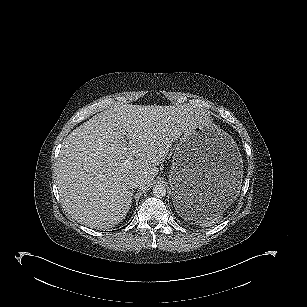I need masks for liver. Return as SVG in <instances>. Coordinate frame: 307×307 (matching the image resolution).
<instances>
[{
	"mask_svg": "<svg viewBox=\"0 0 307 307\" xmlns=\"http://www.w3.org/2000/svg\"><path fill=\"white\" fill-rule=\"evenodd\" d=\"M203 121L204 111L178 106L117 104L94 115L61 146L55 174L64 209L90 228L119 224L132 204L129 181L149 189L173 141Z\"/></svg>",
	"mask_w": 307,
	"mask_h": 307,
	"instance_id": "liver-1",
	"label": "liver"
}]
</instances>
